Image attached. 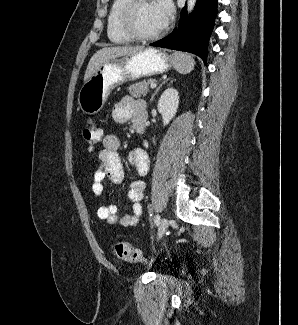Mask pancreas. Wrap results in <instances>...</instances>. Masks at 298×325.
<instances>
[{
	"instance_id": "cf45deb5",
	"label": "pancreas",
	"mask_w": 298,
	"mask_h": 325,
	"mask_svg": "<svg viewBox=\"0 0 298 325\" xmlns=\"http://www.w3.org/2000/svg\"><path fill=\"white\" fill-rule=\"evenodd\" d=\"M152 82H155V78H143L140 82H134V84L127 86L128 92L131 96H136V98L146 96L149 92V84H152Z\"/></svg>"
}]
</instances>
